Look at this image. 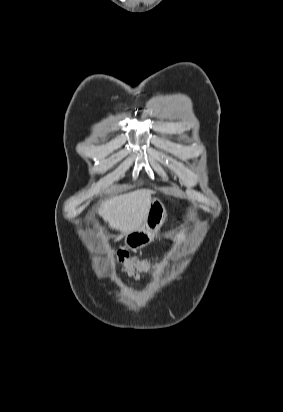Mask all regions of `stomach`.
I'll return each instance as SVG.
<instances>
[{
  "label": "stomach",
  "mask_w": 283,
  "mask_h": 412,
  "mask_svg": "<svg viewBox=\"0 0 283 412\" xmlns=\"http://www.w3.org/2000/svg\"><path fill=\"white\" fill-rule=\"evenodd\" d=\"M166 218L167 211L164 204L159 199H153L145 222L141 227L126 235L125 246L136 250L150 244L157 237Z\"/></svg>",
  "instance_id": "1"
}]
</instances>
